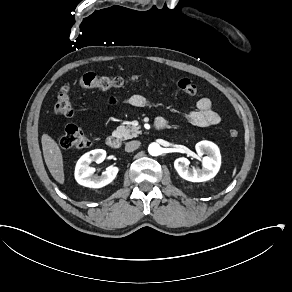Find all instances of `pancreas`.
<instances>
[{
	"mask_svg": "<svg viewBox=\"0 0 292 292\" xmlns=\"http://www.w3.org/2000/svg\"><path fill=\"white\" fill-rule=\"evenodd\" d=\"M140 133L141 131L137 126H119L113 134L120 140H127L137 137V135Z\"/></svg>",
	"mask_w": 292,
	"mask_h": 292,
	"instance_id": "pancreas-1",
	"label": "pancreas"
}]
</instances>
